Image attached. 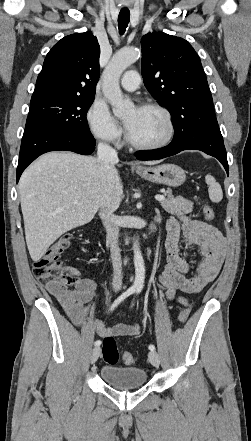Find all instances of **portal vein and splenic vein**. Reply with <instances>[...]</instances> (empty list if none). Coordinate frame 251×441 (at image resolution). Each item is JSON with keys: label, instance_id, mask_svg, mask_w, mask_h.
<instances>
[{"label": "portal vein and splenic vein", "instance_id": "18ae733b", "mask_svg": "<svg viewBox=\"0 0 251 441\" xmlns=\"http://www.w3.org/2000/svg\"><path fill=\"white\" fill-rule=\"evenodd\" d=\"M155 199H156L157 201H159V202H162V201L165 200V197H164L163 195H156V196H155Z\"/></svg>", "mask_w": 251, "mask_h": 441}]
</instances>
